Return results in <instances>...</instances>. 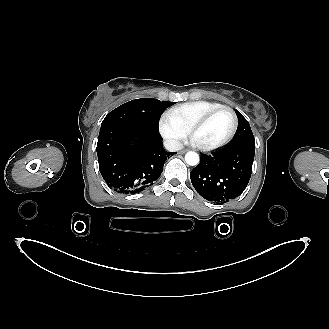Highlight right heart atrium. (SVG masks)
<instances>
[{"label": "right heart atrium", "mask_w": 329, "mask_h": 329, "mask_svg": "<svg viewBox=\"0 0 329 329\" xmlns=\"http://www.w3.org/2000/svg\"><path fill=\"white\" fill-rule=\"evenodd\" d=\"M159 129L163 137L174 147H178L187 135V132L167 114L160 119Z\"/></svg>", "instance_id": "d8ad5b80"}]
</instances>
